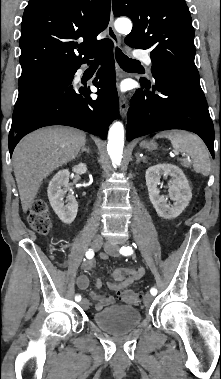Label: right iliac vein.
Here are the masks:
<instances>
[{
	"instance_id": "63e3f726",
	"label": "right iliac vein",
	"mask_w": 221,
	"mask_h": 379,
	"mask_svg": "<svg viewBox=\"0 0 221 379\" xmlns=\"http://www.w3.org/2000/svg\"><path fill=\"white\" fill-rule=\"evenodd\" d=\"M102 244H103V239L100 236H95L93 238V241H92V247H93V249L99 250L100 247L102 246ZM80 304H81L82 307L87 308L89 303H88L87 299H82V301L80 302Z\"/></svg>"
}]
</instances>
